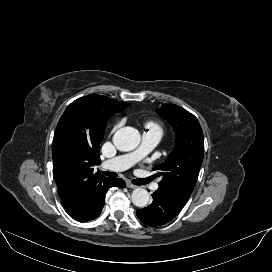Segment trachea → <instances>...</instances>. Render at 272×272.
I'll list each match as a JSON object with an SVG mask.
<instances>
[{
	"label": "trachea",
	"mask_w": 272,
	"mask_h": 272,
	"mask_svg": "<svg viewBox=\"0 0 272 272\" xmlns=\"http://www.w3.org/2000/svg\"><path fill=\"white\" fill-rule=\"evenodd\" d=\"M102 173L106 176H109V177H113V178L117 177V173H115V172L106 171V172H102ZM146 183H148L147 180H144V182H140V179H136L133 181V184H135V185H142V184H146Z\"/></svg>",
	"instance_id": "trachea-1"
}]
</instances>
